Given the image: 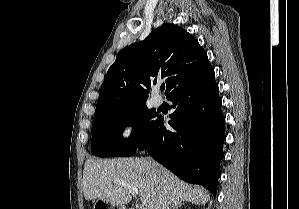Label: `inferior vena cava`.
<instances>
[{
	"instance_id": "602c4592",
	"label": "inferior vena cava",
	"mask_w": 299,
	"mask_h": 209,
	"mask_svg": "<svg viewBox=\"0 0 299 209\" xmlns=\"http://www.w3.org/2000/svg\"><path fill=\"white\" fill-rule=\"evenodd\" d=\"M147 159L155 171H157V172L161 171V169L157 163L152 161L150 157H148ZM168 205H169L168 198L166 197L165 194H161L158 198L155 209H169Z\"/></svg>"
}]
</instances>
